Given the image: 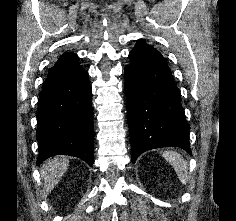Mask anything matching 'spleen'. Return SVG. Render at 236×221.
Here are the masks:
<instances>
[{"label": "spleen", "instance_id": "obj_1", "mask_svg": "<svg viewBox=\"0 0 236 221\" xmlns=\"http://www.w3.org/2000/svg\"><path fill=\"white\" fill-rule=\"evenodd\" d=\"M163 157L171 164V166L174 168L179 180L186 184L188 181V167H187V161L184 160V158L175 151H164Z\"/></svg>", "mask_w": 236, "mask_h": 221}]
</instances>
